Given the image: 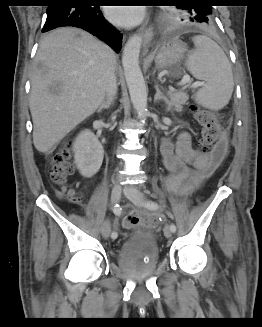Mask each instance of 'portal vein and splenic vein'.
Here are the masks:
<instances>
[{
	"label": "portal vein and splenic vein",
	"instance_id": "18ae733b",
	"mask_svg": "<svg viewBox=\"0 0 262 327\" xmlns=\"http://www.w3.org/2000/svg\"><path fill=\"white\" fill-rule=\"evenodd\" d=\"M190 81V77L188 75L183 76L182 80L180 81L179 85H186L187 83H189ZM203 83L202 82H195L191 85L192 88H197L199 86H202Z\"/></svg>",
	"mask_w": 262,
	"mask_h": 327
}]
</instances>
